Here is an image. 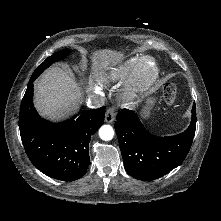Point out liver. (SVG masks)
<instances>
[{
  "label": "liver",
  "instance_id": "obj_1",
  "mask_svg": "<svg viewBox=\"0 0 221 221\" xmlns=\"http://www.w3.org/2000/svg\"><path fill=\"white\" fill-rule=\"evenodd\" d=\"M111 50L93 54L96 76L103 78L104 70L121 59ZM82 92L74 73L69 68L52 67L35 83L34 104L40 115L60 120L77 110L82 103Z\"/></svg>",
  "mask_w": 221,
  "mask_h": 221
}]
</instances>
